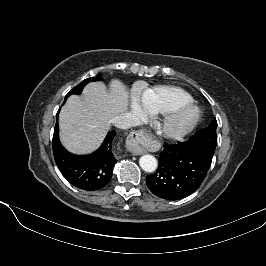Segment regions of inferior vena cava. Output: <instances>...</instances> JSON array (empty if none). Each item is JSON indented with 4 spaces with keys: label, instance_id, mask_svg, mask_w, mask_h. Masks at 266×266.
<instances>
[{
    "label": "inferior vena cava",
    "instance_id": "602c4592",
    "mask_svg": "<svg viewBox=\"0 0 266 266\" xmlns=\"http://www.w3.org/2000/svg\"><path fill=\"white\" fill-rule=\"evenodd\" d=\"M111 123L117 128L128 129L130 127L137 126L140 121L134 114L123 112L112 118Z\"/></svg>",
    "mask_w": 266,
    "mask_h": 266
}]
</instances>
